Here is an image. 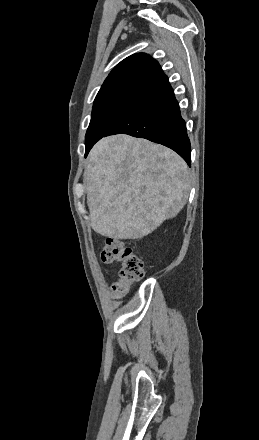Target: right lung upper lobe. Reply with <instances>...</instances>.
Listing matches in <instances>:
<instances>
[{
    "instance_id": "cb5924a9",
    "label": "right lung upper lobe",
    "mask_w": 259,
    "mask_h": 440,
    "mask_svg": "<svg viewBox=\"0 0 259 440\" xmlns=\"http://www.w3.org/2000/svg\"><path fill=\"white\" fill-rule=\"evenodd\" d=\"M165 76L159 63L148 54H134L110 72L96 97L117 92H148Z\"/></svg>"
}]
</instances>
